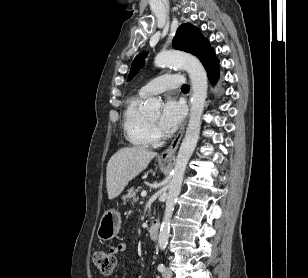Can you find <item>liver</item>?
<instances>
[{"label": "liver", "mask_w": 308, "mask_h": 278, "mask_svg": "<svg viewBox=\"0 0 308 278\" xmlns=\"http://www.w3.org/2000/svg\"><path fill=\"white\" fill-rule=\"evenodd\" d=\"M156 152L141 147H125L118 150L108 161L106 187L109 200L118 197L129 181L145 170Z\"/></svg>", "instance_id": "6515ba94"}]
</instances>
